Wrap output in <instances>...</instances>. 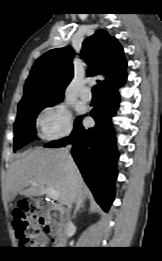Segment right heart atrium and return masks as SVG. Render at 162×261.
Instances as JSON below:
<instances>
[{
  "label": "right heart atrium",
  "mask_w": 162,
  "mask_h": 261,
  "mask_svg": "<svg viewBox=\"0 0 162 261\" xmlns=\"http://www.w3.org/2000/svg\"><path fill=\"white\" fill-rule=\"evenodd\" d=\"M39 126L46 138H62L72 130L71 112L63 102H56L44 110Z\"/></svg>",
  "instance_id": "obj_1"
}]
</instances>
